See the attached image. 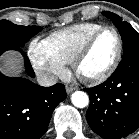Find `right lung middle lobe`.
Returning a JSON list of instances; mask_svg holds the SVG:
<instances>
[{
  "label": "right lung middle lobe",
  "mask_w": 139,
  "mask_h": 139,
  "mask_svg": "<svg viewBox=\"0 0 139 139\" xmlns=\"http://www.w3.org/2000/svg\"><path fill=\"white\" fill-rule=\"evenodd\" d=\"M42 30L39 26H19L7 20L0 21V45L13 44L19 47Z\"/></svg>",
  "instance_id": "right-lung-middle-lobe-1"
}]
</instances>
